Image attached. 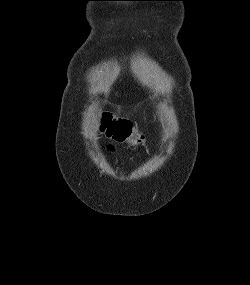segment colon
<instances>
[{"label": "colon", "instance_id": "5ec220e1", "mask_svg": "<svg viewBox=\"0 0 250 285\" xmlns=\"http://www.w3.org/2000/svg\"><path fill=\"white\" fill-rule=\"evenodd\" d=\"M101 131L117 142H128L134 147L141 145L144 140L130 121L116 119L108 113L103 116Z\"/></svg>", "mask_w": 250, "mask_h": 285}]
</instances>
